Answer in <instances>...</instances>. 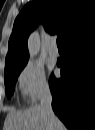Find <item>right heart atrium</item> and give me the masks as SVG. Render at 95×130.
<instances>
[{"mask_svg": "<svg viewBox=\"0 0 95 130\" xmlns=\"http://www.w3.org/2000/svg\"><path fill=\"white\" fill-rule=\"evenodd\" d=\"M21 93L27 102H35L49 92V83L44 67L37 62L29 61L18 75Z\"/></svg>", "mask_w": 95, "mask_h": 130, "instance_id": "1", "label": "right heart atrium"}]
</instances>
